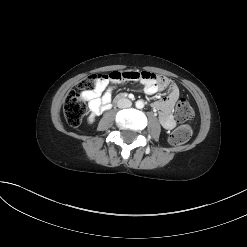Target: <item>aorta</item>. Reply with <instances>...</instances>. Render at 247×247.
Masks as SVG:
<instances>
[{"label": "aorta", "instance_id": "obj_1", "mask_svg": "<svg viewBox=\"0 0 247 247\" xmlns=\"http://www.w3.org/2000/svg\"><path fill=\"white\" fill-rule=\"evenodd\" d=\"M136 108L142 109L144 107V102L142 100H138L135 103Z\"/></svg>", "mask_w": 247, "mask_h": 247}]
</instances>
